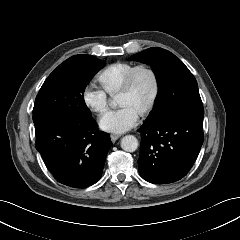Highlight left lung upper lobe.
I'll use <instances>...</instances> for the list:
<instances>
[{
    "label": "left lung upper lobe",
    "mask_w": 240,
    "mask_h": 240,
    "mask_svg": "<svg viewBox=\"0 0 240 240\" xmlns=\"http://www.w3.org/2000/svg\"><path fill=\"white\" fill-rule=\"evenodd\" d=\"M130 60L151 65L158 82L156 107L145 123H158L177 113L204 115L196 79L174 54L152 47L133 55Z\"/></svg>",
    "instance_id": "5c2ea615"
}]
</instances>
